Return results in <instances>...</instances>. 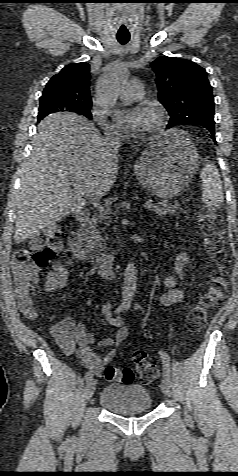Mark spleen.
<instances>
[{
    "mask_svg": "<svg viewBox=\"0 0 238 476\" xmlns=\"http://www.w3.org/2000/svg\"><path fill=\"white\" fill-rule=\"evenodd\" d=\"M200 176L202 180V200L204 204L211 209L220 207L224 197L222 181L216 166L211 162L205 163Z\"/></svg>",
    "mask_w": 238,
    "mask_h": 476,
    "instance_id": "3e777b00",
    "label": "spleen"
}]
</instances>
